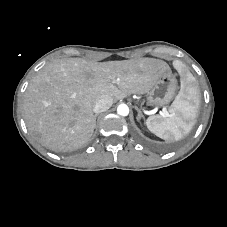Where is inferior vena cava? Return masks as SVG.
Instances as JSON below:
<instances>
[{
  "label": "inferior vena cava",
  "instance_id": "602c4592",
  "mask_svg": "<svg viewBox=\"0 0 227 227\" xmlns=\"http://www.w3.org/2000/svg\"><path fill=\"white\" fill-rule=\"evenodd\" d=\"M113 104V99L109 96H101L93 107L94 113L98 114L108 110Z\"/></svg>",
  "mask_w": 227,
  "mask_h": 227
}]
</instances>
